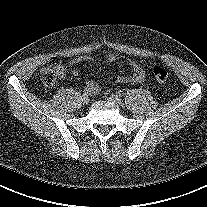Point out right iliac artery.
<instances>
[{
	"label": "right iliac artery",
	"mask_w": 207,
	"mask_h": 207,
	"mask_svg": "<svg viewBox=\"0 0 207 207\" xmlns=\"http://www.w3.org/2000/svg\"><path fill=\"white\" fill-rule=\"evenodd\" d=\"M83 92H84V95H89V94H91L90 89H89V88H87V87L84 89V91H83Z\"/></svg>",
	"instance_id": "right-iliac-artery-1"
}]
</instances>
